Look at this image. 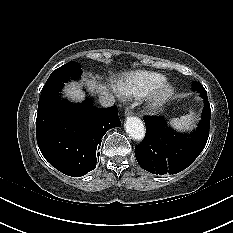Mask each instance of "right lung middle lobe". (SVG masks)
Masks as SVG:
<instances>
[{"instance_id": "right-lung-middle-lobe-1", "label": "right lung middle lobe", "mask_w": 233, "mask_h": 233, "mask_svg": "<svg viewBox=\"0 0 233 233\" xmlns=\"http://www.w3.org/2000/svg\"><path fill=\"white\" fill-rule=\"evenodd\" d=\"M81 73L80 65L74 61L66 63L53 71L42 90L38 103L37 115H41L57 107L60 103L59 92L64 83L68 82L70 79H78Z\"/></svg>"}]
</instances>
